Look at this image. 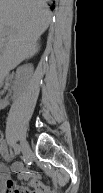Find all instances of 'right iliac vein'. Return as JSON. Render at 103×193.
<instances>
[{
    "mask_svg": "<svg viewBox=\"0 0 103 193\" xmlns=\"http://www.w3.org/2000/svg\"><path fill=\"white\" fill-rule=\"evenodd\" d=\"M29 151H30V148H29L28 143L26 141H23L21 143V152H22L23 156L26 157L28 155Z\"/></svg>",
    "mask_w": 103,
    "mask_h": 193,
    "instance_id": "1",
    "label": "right iliac vein"
}]
</instances>
